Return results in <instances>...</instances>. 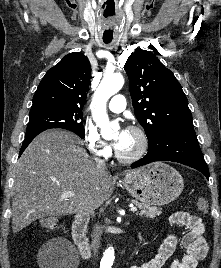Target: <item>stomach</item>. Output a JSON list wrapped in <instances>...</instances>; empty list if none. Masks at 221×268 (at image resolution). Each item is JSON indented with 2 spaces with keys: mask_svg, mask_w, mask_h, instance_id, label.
<instances>
[{
  "mask_svg": "<svg viewBox=\"0 0 221 268\" xmlns=\"http://www.w3.org/2000/svg\"><path fill=\"white\" fill-rule=\"evenodd\" d=\"M124 186L132 197L145 205L162 206L179 197L184 181L176 169L156 162L127 172Z\"/></svg>",
  "mask_w": 221,
  "mask_h": 268,
  "instance_id": "0dacf381",
  "label": "stomach"
}]
</instances>
